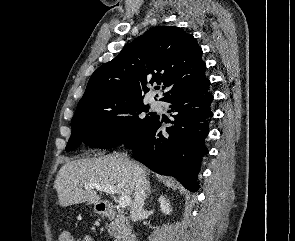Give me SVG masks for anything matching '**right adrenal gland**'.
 Masks as SVG:
<instances>
[{"instance_id":"right-adrenal-gland-1","label":"right adrenal gland","mask_w":295,"mask_h":241,"mask_svg":"<svg viewBox=\"0 0 295 241\" xmlns=\"http://www.w3.org/2000/svg\"><path fill=\"white\" fill-rule=\"evenodd\" d=\"M146 198L148 199L151 194V186L149 180L146 182Z\"/></svg>"}]
</instances>
